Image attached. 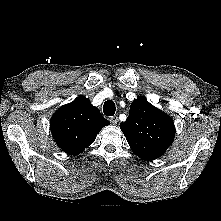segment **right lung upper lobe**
I'll list each match as a JSON object with an SVG mask.
<instances>
[{
    "label": "right lung upper lobe",
    "instance_id": "right-lung-upper-lobe-1",
    "mask_svg": "<svg viewBox=\"0 0 221 221\" xmlns=\"http://www.w3.org/2000/svg\"><path fill=\"white\" fill-rule=\"evenodd\" d=\"M109 124L88 98L79 96L54 113L50 128L58 147L76 155L87 148L100 130Z\"/></svg>",
    "mask_w": 221,
    "mask_h": 221
}]
</instances>
